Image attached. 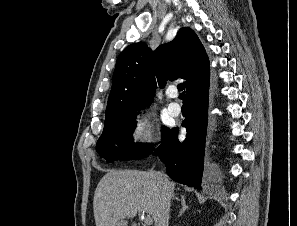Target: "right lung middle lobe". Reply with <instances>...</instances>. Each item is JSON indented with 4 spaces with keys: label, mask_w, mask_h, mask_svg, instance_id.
I'll list each match as a JSON object with an SVG mask.
<instances>
[{
    "label": "right lung middle lobe",
    "mask_w": 297,
    "mask_h": 226,
    "mask_svg": "<svg viewBox=\"0 0 297 226\" xmlns=\"http://www.w3.org/2000/svg\"><path fill=\"white\" fill-rule=\"evenodd\" d=\"M134 112L121 110L106 112L104 130L97 141L96 150L108 162L115 160H137L149 156L154 148L147 144L133 142L132 131L136 127ZM169 129L162 130L165 138Z\"/></svg>",
    "instance_id": "1"
}]
</instances>
